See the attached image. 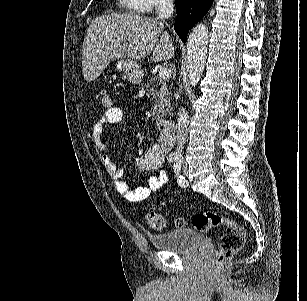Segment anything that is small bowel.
<instances>
[{"instance_id": "c3829d8e", "label": "small bowel", "mask_w": 307, "mask_h": 301, "mask_svg": "<svg viewBox=\"0 0 307 301\" xmlns=\"http://www.w3.org/2000/svg\"><path fill=\"white\" fill-rule=\"evenodd\" d=\"M123 118L124 112L122 108L114 106L107 110L93 125L91 138L98 150L104 151L106 147L103 136L104 128L108 125H117L121 123ZM169 148L170 143L168 138L162 137L158 143L136 159V163L141 170H153L155 174L149 178L147 186L135 189L130 188L122 179V169L109 157V155L103 153L101 155V161L108 174L112 177L118 193L128 201L140 202L147 199L152 193H160L165 189L168 176L162 165Z\"/></svg>"}]
</instances>
